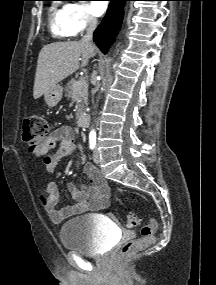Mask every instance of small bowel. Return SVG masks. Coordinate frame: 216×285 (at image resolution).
Returning <instances> with one entry per match:
<instances>
[{
    "mask_svg": "<svg viewBox=\"0 0 216 285\" xmlns=\"http://www.w3.org/2000/svg\"><path fill=\"white\" fill-rule=\"evenodd\" d=\"M57 149L55 155L50 152ZM77 152L75 134L70 126L55 129L41 144L39 155L44 158L46 169L52 173L56 160ZM84 173L91 181L90 187H79L74 183L68 184V190L75 203L63 208L58 207L59 195L54 182L48 183L40 193V200L53 223L59 224L72 216L89 211L104 209L109 204V186L100 172L91 164H85Z\"/></svg>",
    "mask_w": 216,
    "mask_h": 285,
    "instance_id": "c3829d8e",
    "label": "small bowel"
}]
</instances>
